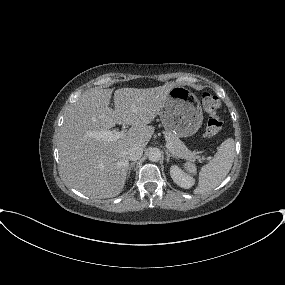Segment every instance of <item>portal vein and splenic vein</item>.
<instances>
[{"instance_id":"18ae733b","label":"portal vein and splenic vein","mask_w":285,"mask_h":285,"mask_svg":"<svg viewBox=\"0 0 285 285\" xmlns=\"http://www.w3.org/2000/svg\"><path fill=\"white\" fill-rule=\"evenodd\" d=\"M124 133H125L124 131L108 130V131L96 132L93 134V137L109 142V141H116L117 139L121 138L124 135ZM166 147L169 150L172 149V145L169 143L166 144Z\"/></svg>"}]
</instances>
